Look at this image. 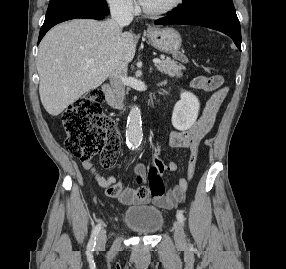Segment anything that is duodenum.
I'll use <instances>...</instances> for the list:
<instances>
[{
  "label": "duodenum",
  "instance_id": "1",
  "mask_svg": "<svg viewBox=\"0 0 286 269\" xmlns=\"http://www.w3.org/2000/svg\"><path fill=\"white\" fill-rule=\"evenodd\" d=\"M103 92L105 95V99L107 103L113 108H122L123 104L119 101V99L115 96L112 86L109 83H105L103 85Z\"/></svg>",
  "mask_w": 286,
  "mask_h": 269
}]
</instances>
